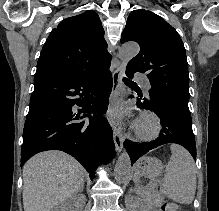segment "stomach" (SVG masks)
Instances as JSON below:
<instances>
[{
	"label": "stomach",
	"instance_id": "obj_1",
	"mask_svg": "<svg viewBox=\"0 0 219 211\" xmlns=\"http://www.w3.org/2000/svg\"><path fill=\"white\" fill-rule=\"evenodd\" d=\"M163 169L162 162L155 157L144 156L140 158L134 166L137 174L153 179L158 177Z\"/></svg>",
	"mask_w": 219,
	"mask_h": 211
}]
</instances>
